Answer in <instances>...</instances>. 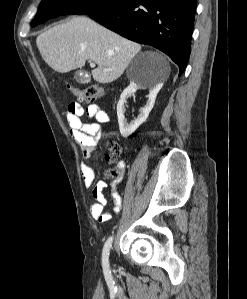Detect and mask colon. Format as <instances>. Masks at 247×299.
<instances>
[{
    "mask_svg": "<svg viewBox=\"0 0 247 299\" xmlns=\"http://www.w3.org/2000/svg\"><path fill=\"white\" fill-rule=\"evenodd\" d=\"M72 94L82 101H94L104 96L105 90L102 86L91 84L85 87L69 86ZM110 151V158L119 152V147L114 143L110 142L108 145ZM111 175H116V171H111Z\"/></svg>",
    "mask_w": 247,
    "mask_h": 299,
    "instance_id": "5ec220e1",
    "label": "colon"
}]
</instances>
